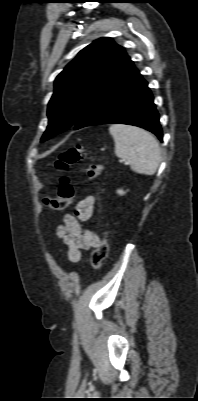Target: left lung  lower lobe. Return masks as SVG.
<instances>
[{"label": "left lung lower lobe", "instance_id": "obj_1", "mask_svg": "<svg viewBox=\"0 0 198 401\" xmlns=\"http://www.w3.org/2000/svg\"><path fill=\"white\" fill-rule=\"evenodd\" d=\"M122 123L153 132L162 141L159 114L147 82L130 58L91 101L73 126Z\"/></svg>", "mask_w": 198, "mask_h": 401}]
</instances>
